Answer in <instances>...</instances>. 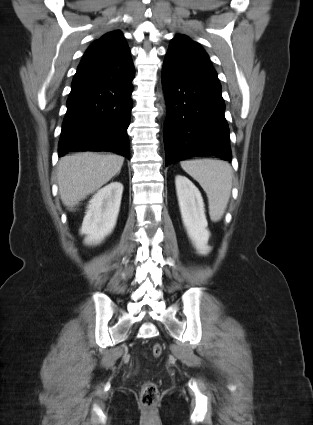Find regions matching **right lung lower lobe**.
<instances>
[{
	"label": "right lung lower lobe",
	"mask_w": 313,
	"mask_h": 425,
	"mask_svg": "<svg viewBox=\"0 0 313 425\" xmlns=\"http://www.w3.org/2000/svg\"><path fill=\"white\" fill-rule=\"evenodd\" d=\"M133 62L80 63L73 78L58 155L107 151L130 157Z\"/></svg>",
	"instance_id": "obj_1"
}]
</instances>
